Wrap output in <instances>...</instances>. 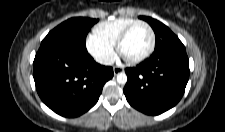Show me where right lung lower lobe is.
<instances>
[{
  "mask_svg": "<svg viewBox=\"0 0 225 132\" xmlns=\"http://www.w3.org/2000/svg\"><path fill=\"white\" fill-rule=\"evenodd\" d=\"M113 75L111 67L96 63L87 50L44 45L33 62L40 98L64 117H77L93 107Z\"/></svg>",
  "mask_w": 225,
  "mask_h": 132,
  "instance_id": "obj_1",
  "label": "right lung lower lobe"
}]
</instances>
